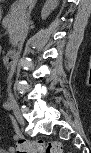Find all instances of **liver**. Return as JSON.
<instances>
[{"mask_svg": "<svg viewBox=\"0 0 91 153\" xmlns=\"http://www.w3.org/2000/svg\"><path fill=\"white\" fill-rule=\"evenodd\" d=\"M28 1L29 0H21L20 3H19V8L21 9V11L19 10L20 13L24 12V9L25 7L28 5ZM49 2L50 4L52 5H57V2L56 1H53V0H50V1H47Z\"/></svg>", "mask_w": 91, "mask_h": 153, "instance_id": "6515ba94", "label": "liver"}]
</instances>
